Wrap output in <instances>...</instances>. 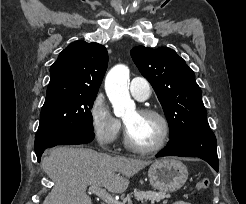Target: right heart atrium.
I'll list each match as a JSON object with an SVG mask.
<instances>
[{
	"label": "right heart atrium",
	"mask_w": 246,
	"mask_h": 204,
	"mask_svg": "<svg viewBox=\"0 0 246 204\" xmlns=\"http://www.w3.org/2000/svg\"><path fill=\"white\" fill-rule=\"evenodd\" d=\"M89 114L91 129L97 142L102 146L113 144L120 135L122 124L112 113L103 95L95 96Z\"/></svg>",
	"instance_id": "1"
}]
</instances>
